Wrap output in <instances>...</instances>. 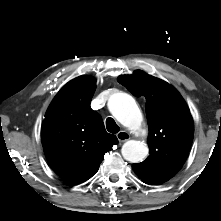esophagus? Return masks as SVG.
Wrapping results in <instances>:
<instances>
[{
    "instance_id": "obj_1",
    "label": "esophagus",
    "mask_w": 221,
    "mask_h": 221,
    "mask_svg": "<svg viewBox=\"0 0 221 221\" xmlns=\"http://www.w3.org/2000/svg\"><path fill=\"white\" fill-rule=\"evenodd\" d=\"M116 137L118 139L119 142L123 143V142H126L127 140L130 139V135L128 132L126 131H120L116 134Z\"/></svg>"
}]
</instances>
